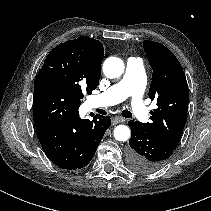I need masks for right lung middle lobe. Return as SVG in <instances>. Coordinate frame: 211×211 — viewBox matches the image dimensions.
I'll use <instances>...</instances> for the list:
<instances>
[{
	"label": "right lung middle lobe",
	"mask_w": 211,
	"mask_h": 211,
	"mask_svg": "<svg viewBox=\"0 0 211 211\" xmlns=\"http://www.w3.org/2000/svg\"><path fill=\"white\" fill-rule=\"evenodd\" d=\"M36 78H45L61 85L74 92L79 99L83 98V92L91 94L98 85L97 81L88 76L69 48H66L63 43L56 46L47 55Z\"/></svg>",
	"instance_id": "right-lung-middle-lobe-1"
}]
</instances>
